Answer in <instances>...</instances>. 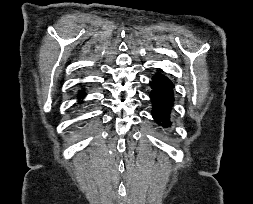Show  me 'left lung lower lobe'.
Segmentation results:
<instances>
[{
  "instance_id": "0a47b994",
  "label": "left lung lower lobe",
  "mask_w": 253,
  "mask_h": 204,
  "mask_svg": "<svg viewBox=\"0 0 253 204\" xmlns=\"http://www.w3.org/2000/svg\"><path fill=\"white\" fill-rule=\"evenodd\" d=\"M153 90L150 99L153 105L152 116L159 125L169 127L170 113L173 107V83L161 73H157L150 82Z\"/></svg>"
}]
</instances>
